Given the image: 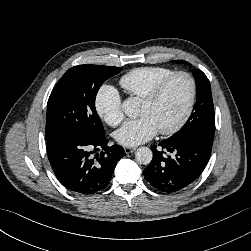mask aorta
Masks as SVG:
<instances>
[{"mask_svg":"<svg viewBox=\"0 0 251 251\" xmlns=\"http://www.w3.org/2000/svg\"><path fill=\"white\" fill-rule=\"evenodd\" d=\"M122 110L128 117H134L138 111V102L135 98H128L122 104ZM136 160L143 165L152 161L153 153L148 147H139L135 152Z\"/></svg>","mask_w":251,"mask_h":251,"instance_id":"762f6f07","label":"aorta"}]
</instances>
